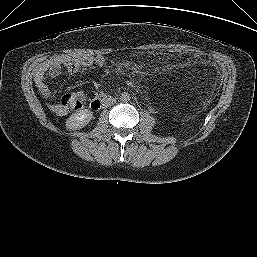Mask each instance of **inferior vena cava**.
<instances>
[{
  "mask_svg": "<svg viewBox=\"0 0 257 257\" xmlns=\"http://www.w3.org/2000/svg\"><path fill=\"white\" fill-rule=\"evenodd\" d=\"M115 100H111L108 105L114 104Z\"/></svg>",
  "mask_w": 257,
  "mask_h": 257,
  "instance_id": "602c4592",
  "label": "inferior vena cava"
}]
</instances>
